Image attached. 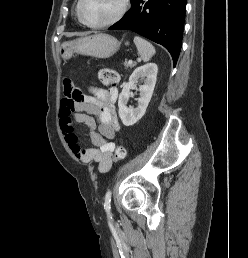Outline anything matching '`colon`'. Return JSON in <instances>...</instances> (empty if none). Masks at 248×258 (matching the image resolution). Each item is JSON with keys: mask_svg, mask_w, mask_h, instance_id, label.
Here are the masks:
<instances>
[{"mask_svg": "<svg viewBox=\"0 0 248 258\" xmlns=\"http://www.w3.org/2000/svg\"><path fill=\"white\" fill-rule=\"evenodd\" d=\"M98 77L100 81L105 85H114L118 80V74L115 71L109 70V69L101 70L98 74ZM77 93L79 96H81L78 89H77ZM125 156H126V150L124 146L122 145L117 146L114 152L113 160L117 162V161L123 160Z\"/></svg>", "mask_w": 248, "mask_h": 258, "instance_id": "obj_1", "label": "colon"}]
</instances>
